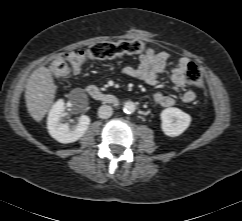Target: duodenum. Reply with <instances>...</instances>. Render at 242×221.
<instances>
[{
	"label": "duodenum",
	"mask_w": 242,
	"mask_h": 221,
	"mask_svg": "<svg viewBox=\"0 0 242 221\" xmlns=\"http://www.w3.org/2000/svg\"><path fill=\"white\" fill-rule=\"evenodd\" d=\"M86 92L88 93V95L97 100V101H101L107 104H115L117 103V98L107 92H104L102 90H100L98 87L96 86H89L86 89Z\"/></svg>",
	"instance_id": "duodenum-1"
}]
</instances>
